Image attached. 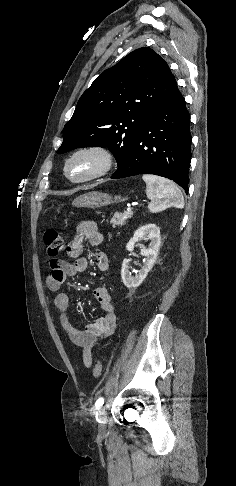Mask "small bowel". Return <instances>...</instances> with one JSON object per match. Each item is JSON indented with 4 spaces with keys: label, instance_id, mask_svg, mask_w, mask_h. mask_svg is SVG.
<instances>
[{
    "label": "small bowel",
    "instance_id": "c3829d8e",
    "mask_svg": "<svg viewBox=\"0 0 236 486\" xmlns=\"http://www.w3.org/2000/svg\"><path fill=\"white\" fill-rule=\"evenodd\" d=\"M103 235L98 231L97 225L92 221L81 222L76 227L73 240L67 245V255L75 260L70 263L61 259H53L50 262V272L46 279L47 287L54 292L60 290L68 276H74L86 271L88 262L80 255L85 243L98 246L103 242ZM95 264L101 272L109 269L108 256L100 252L95 256ZM93 297L99 302L105 315L88 323L83 329L75 327L68 315L69 297L64 292H59L54 298V306L59 317L63 331L70 340L81 348V356L86 367L93 363L92 350L102 340L113 334L117 316L109 289L100 286L93 290Z\"/></svg>",
    "mask_w": 236,
    "mask_h": 486
}]
</instances>
